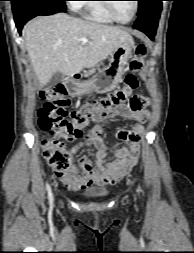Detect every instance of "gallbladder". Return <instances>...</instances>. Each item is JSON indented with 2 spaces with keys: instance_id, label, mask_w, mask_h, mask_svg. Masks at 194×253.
<instances>
[{
  "instance_id": "obj_1",
  "label": "gallbladder",
  "mask_w": 194,
  "mask_h": 253,
  "mask_svg": "<svg viewBox=\"0 0 194 253\" xmlns=\"http://www.w3.org/2000/svg\"><path fill=\"white\" fill-rule=\"evenodd\" d=\"M62 80V74L60 72H56L52 78L50 79L49 81V86L50 87H53V86H56L58 85Z\"/></svg>"
}]
</instances>
